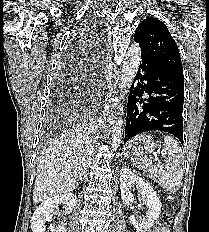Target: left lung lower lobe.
Listing matches in <instances>:
<instances>
[{
  "label": "left lung lower lobe",
  "instance_id": "left-lung-lower-lobe-1",
  "mask_svg": "<svg viewBox=\"0 0 209 232\" xmlns=\"http://www.w3.org/2000/svg\"><path fill=\"white\" fill-rule=\"evenodd\" d=\"M184 76L161 69L141 54L130 88L124 144L146 131H164L183 144Z\"/></svg>",
  "mask_w": 209,
  "mask_h": 232
}]
</instances>
